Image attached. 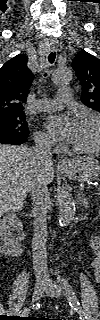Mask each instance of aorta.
Listing matches in <instances>:
<instances>
[{
    "mask_svg": "<svg viewBox=\"0 0 100 320\" xmlns=\"http://www.w3.org/2000/svg\"><path fill=\"white\" fill-rule=\"evenodd\" d=\"M72 78V72L69 68H57L52 76L55 84H66ZM59 202V224L67 226L74 219L75 202L72 195L65 189H61L58 193Z\"/></svg>",
    "mask_w": 100,
    "mask_h": 320,
    "instance_id": "1",
    "label": "aorta"
}]
</instances>
